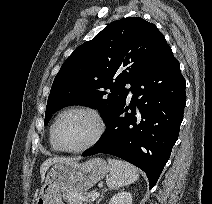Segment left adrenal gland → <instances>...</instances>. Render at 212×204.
Wrapping results in <instances>:
<instances>
[{
    "label": "left adrenal gland",
    "instance_id": "1",
    "mask_svg": "<svg viewBox=\"0 0 212 204\" xmlns=\"http://www.w3.org/2000/svg\"><path fill=\"white\" fill-rule=\"evenodd\" d=\"M106 191H107V189L101 193V195H100L99 199L97 200L96 204H99L100 203V201L104 197V192H106Z\"/></svg>",
    "mask_w": 212,
    "mask_h": 204
}]
</instances>
